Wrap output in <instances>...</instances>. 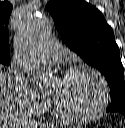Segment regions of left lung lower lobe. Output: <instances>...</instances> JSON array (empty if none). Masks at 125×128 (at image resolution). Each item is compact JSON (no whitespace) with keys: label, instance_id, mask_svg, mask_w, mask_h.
I'll return each instance as SVG.
<instances>
[{"label":"left lung lower lobe","instance_id":"obj_1","mask_svg":"<svg viewBox=\"0 0 125 128\" xmlns=\"http://www.w3.org/2000/svg\"><path fill=\"white\" fill-rule=\"evenodd\" d=\"M108 112H112V111H108ZM113 112H119V113H121V114H124V115H125V110L113 111Z\"/></svg>","mask_w":125,"mask_h":128}]
</instances>
